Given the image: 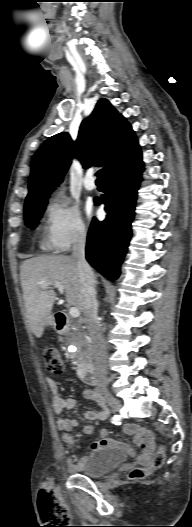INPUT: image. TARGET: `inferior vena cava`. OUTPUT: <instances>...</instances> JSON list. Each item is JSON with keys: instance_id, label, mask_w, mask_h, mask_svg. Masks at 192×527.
<instances>
[{"instance_id": "inferior-vena-cava-1", "label": "inferior vena cava", "mask_w": 192, "mask_h": 527, "mask_svg": "<svg viewBox=\"0 0 192 527\" xmlns=\"http://www.w3.org/2000/svg\"><path fill=\"white\" fill-rule=\"evenodd\" d=\"M72 243V258L77 261L78 273L82 284L83 314L92 342L96 375L99 386L106 387V346L97 317L98 303L96 299L95 275L85 258L86 232L83 226L75 230Z\"/></svg>"}]
</instances>
